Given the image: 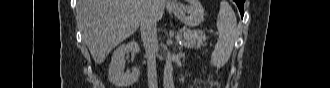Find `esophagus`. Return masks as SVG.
<instances>
[{"mask_svg": "<svg viewBox=\"0 0 330 88\" xmlns=\"http://www.w3.org/2000/svg\"><path fill=\"white\" fill-rule=\"evenodd\" d=\"M168 4H170V5H175V4H176V2H175V1H173V0H169V1H168Z\"/></svg>", "mask_w": 330, "mask_h": 88, "instance_id": "1", "label": "esophagus"}]
</instances>
